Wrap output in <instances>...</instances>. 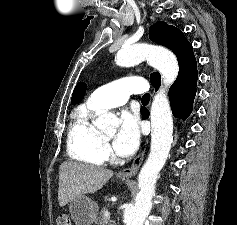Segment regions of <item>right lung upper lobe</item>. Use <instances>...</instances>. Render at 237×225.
I'll return each instance as SVG.
<instances>
[{
  "label": "right lung upper lobe",
  "mask_w": 237,
  "mask_h": 225,
  "mask_svg": "<svg viewBox=\"0 0 237 225\" xmlns=\"http://www.w3.org/2000/svg\"><path fill=\"white\" fill-rule=\"evenodd\" d=\"M86 88V84L82 82H79L76 85L71 98L73 104L78 103L83 98Z\"/></svg>",
  "instance_id": "obj_1"
}]
</instances>
